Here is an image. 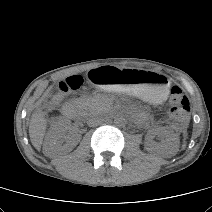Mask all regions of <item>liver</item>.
<instances>
[{"instance_id": "liver-1", "label": "liver", "mask_w": 212, "mask_h": 212, "mask_svg": "<svg viewBox=\"0 0 212 212\" xmlns=\"http://www.w3.org/2000/svg\"><path fill=\"white\" fill-rule=\"evenodd\" d=\"M46 128H47V121L44 117V113L41 110L35 111L30 119L29 136L32 145L38 151L41 149Z\"/></svg>"}]
</instances>
